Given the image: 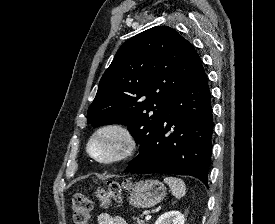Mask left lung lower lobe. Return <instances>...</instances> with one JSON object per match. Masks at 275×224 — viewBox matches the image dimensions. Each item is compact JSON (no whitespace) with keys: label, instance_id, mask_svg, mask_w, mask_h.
<instances>
[{"label":"left lung lower lobe","instance_id":"obj_1","mask_svg":"<svg viewBox=\"0 0 275 224\" xmlns=\"http://www.w3.org/2000/svg\"><path fill=\"white\" fill-rule=\"evenodd\" d=\"M212 133L210 90L202 66L182 85L125 171L190 175L208 186Z\"/></svg>","mask_w":275,"mask_h":224}]
</instances>
